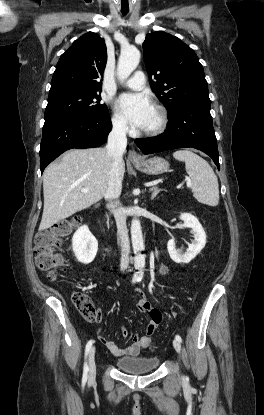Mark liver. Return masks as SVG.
<instances>
[{
  "label": "liver",
  "instance_id": "6515ba94",
  "mask_svg": "<svg viewBox=\"0 0 264 415\" xmlns=\"http://www.w3.org/2000/svg\"><path fill=\"white\" fill-rule=\"evenodd\" d=\"M112 166L106 148L73 149L43 173L44 209L39 231L46 230L105 196ZM122 176L125 172L121 165ZM88 188L83 193L81 190Z\"/></svg>",
  "mask_w": 264,
  "mask_h": 415
}]
</instances>
